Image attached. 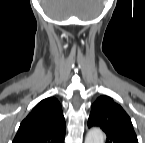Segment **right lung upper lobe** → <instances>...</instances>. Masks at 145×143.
<instances>
[{
  "mask_svg": "<svg viewBox=\"0 0 145 143\" xmlns=\"http://www.w3.org/2000/svg\"><path fill=\"white\" fill-rule=\"evenodd\" d=\"M65 119L56 98L49 97L22 121L13 143H63Z\"/></svg>",
  "mask_w": 145,
  "mask_h": 143,
  "instance_id": "1",
  "label": "right lung upper lobe"
}]
</instances>
